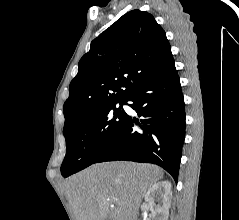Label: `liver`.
<instances>
[{
    "label": "liver",
    "mask_w": 239,
    "mask_h": 220,
    "mask_svg": "<svg viewBox=\"0 0 239 220\" xmlns=\"http://www.w3.org/2000/svg\"><path fill=\"white\" fill-rule=\"evenodd\" d=\"M162 177L155 165L98 163L70 177L64 192L76 220H136L146 191Z\"/></svg>",
    "instance_id": "liver-1"
}]
</instances>
